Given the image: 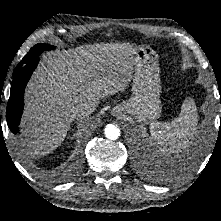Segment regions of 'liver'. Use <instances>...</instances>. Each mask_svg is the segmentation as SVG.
Returning <instances> with one entry per match:
<instances>
[{"label": "liver", "instance_id": "obj_1", "mask_svg": "<svg viewBox=\"0 0 221 221\" xmlns=\"http://www.w3.org/2000/svg\"><path fill=\"white\" fill-rule=\"evenodd\" d=\"M138 49L130 43H107L43 55L25 93L21 123L30 153L45 155L61 145L78 116L74 110L79 103L97 106L100 99L124 91Z\"/></svg>", "mask_w": 221, "mask_h": 221}]
</instances>
